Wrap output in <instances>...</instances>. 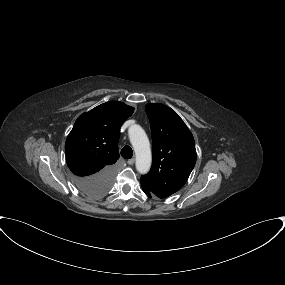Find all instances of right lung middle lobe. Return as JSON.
I'll use <instances>...</instances> for the list:
<instances>
[{
  "instance_id": "obj_1",
  "label": "right lung middle lobe",
  "mask_w": 285,
  "mask_h": 285,
  "mask_svg": "<svg viewBox=\"0 0 285 285\" xmlns=\"http://www.w3.org/2000/svg\"><path fill=\"white\" fill-rule=\"evenodd\" d=\"M101 196H103V195H96V196H93L94 198H97V197H101Z\"/></svg>"
}]
</instances>
